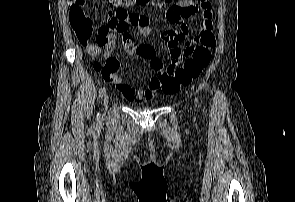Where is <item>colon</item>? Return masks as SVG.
I'll list each match as a JSON object with an SVG mask.
<instances>
[{"label":"colon","instance_id":"1","mask_svg":"<svg viewBox=\"0 0 295 202\" xmlns=\"http://www.w3.org/2000/svg\"><path fill=\"white\" fill-rule=\"evenodd\" d=\"M110 2L116 8L115 18L119 21V27L126 28L139 23L137 15L127 12L128 5L159 6L162 0H111ZM70 19L75 35L83 45L98 43L99 29H96L92 19L83 9L70 8ZM195 43L197 45L183 51L177 61L170 63L158 76L151 78L149 87L152 91L175 94L181 87L190 85L200 76L210 63L211 50L216 45V39L211 31H204Z\"/></svg>","mask_w":295,"mask_h":202}]
</instances>
